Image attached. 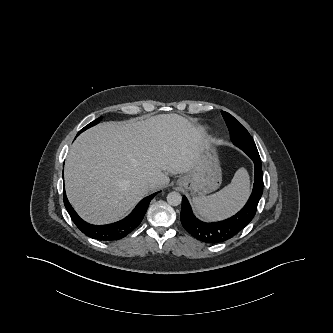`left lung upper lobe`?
Here are the masks:
<instances>
[{
  "label": "left lung upper lobe",
  "instance_id": "left-lung-upper-lobe-1",
  "mask_svg": "<svg viewBox=\"0 0 333 333\" xmlns=\"http://www.w3.org/2000/svg\"><path fill=\"white\" fill-rule=\"evenodd\" d=\"M221 113L228 126L233 144L242 149L246 154L249 152L258 153L254 140L244 126L229 113L225 111Z\"/></svg>",
  "mask_w": 333,
  "mask_h": 333
}]
</instances>
